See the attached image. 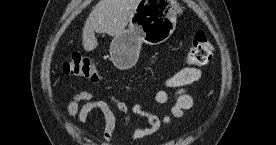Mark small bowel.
<instances>
[{
  "instance_id": "small-bowel-1",
  "label": "small bowel",
  "mask_w": 276,
  "mask_h": 145,
  "mask_svg": "<svg viewBox=\"0 0 276 145\" xmlns=\"http://www.w3.org/2000/svg\"><path fill=\"white\" fill-rule=\"evenodd\" d=\"M202 72L198 68L186 67L179 70L165 82L167 88L176 90V94L171 98L165 90L159 91L155 100L159 104H170V114L159 117L147 112L138 104L131 109L121 100L110 96L108 101L99 100L96 96L88 91H81L74 94L65 105H61V110H65L70 118L76 120L79 124H85L88 115L93 110H99L104 118L103 140L110 142L116 131V118L112 109L114 106L123 116V128L126 131L129 128L131 113L145 118L148 127L136 129L131 138L139 140L154 135L163 124H170L172 118H178L189 110L193 105L192 97L187 93V87L198 81ZM83 103V105H81Z\"/></svg>"
}]
</instances>
